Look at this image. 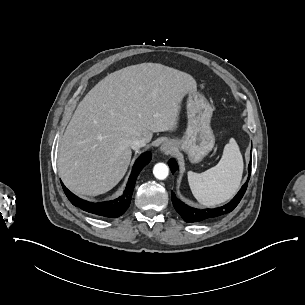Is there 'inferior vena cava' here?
<instances>
[{"mask_svg":"<svg viewBox=\"0 0 305 305\" xmlns=\"http://www.w3.org/2000/svg\"><path fill=\"white\" fill-rule=\"evenodd\" d=\"M146 144V140L145 138L143 137H136L134 139H132L130 141V146L133 148V149H137L139 147H142Z\"/></svg>","mask_w":305,"mask_h":305,"instance_id":"602c4592","label":"inferior vena cava"}]
</instances>
